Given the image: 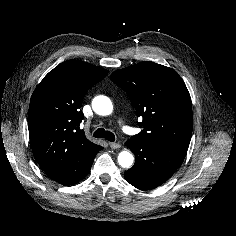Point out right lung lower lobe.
<instances>
[{"mask_svg":"<svg viewBox=\"0 0 236 236\" xmlns=\"http://www.w3.org/2000/svg\"><path fill=\"white\" fill-rule=\"evenodd\" d=\"M96 154L90 157H80L67 164L46 170L45 173L62 185H73L89 173Z\"/></svg>","mask_w":236,"mask_h":236,"instance_id":"1","label":"right lung lower lobe"}]
</instances>
